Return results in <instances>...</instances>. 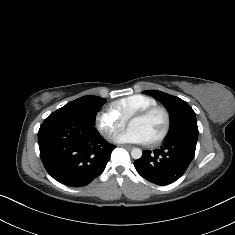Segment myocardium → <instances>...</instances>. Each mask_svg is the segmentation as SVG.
Wrapping results in <instances>:
<instances>
[{"instance_id": "myocardium-1", "label": "myocardium", "mask_w": 235, "mask_h": 235, "mask_svg": "<svg viewBox=\"0 0 235 235\" xmlns=\"http://www.w3.org/2000/svg\"><path fill=\"white\" fill-rule=\"evenodd\" d=\"M156 112H160L164 115V117H165V128L159 136H157L156 138H154L153 140L148 142L149 146H155V145L160 144L170 134V131H171V128H172V117H171L170 112L162 106L155 105V106L149 107V108H147L143 111L137 112L136 114H134L132 116V119H146V118L150 117L151 115H153Z\"/></svg>"}]
</instances>
